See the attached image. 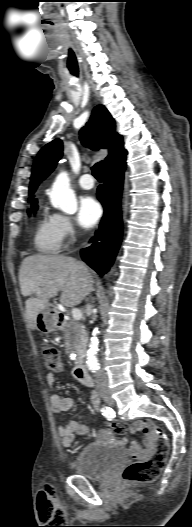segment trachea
Here are the masks:
<instances>
[{
    "mask_svg": "<svg viewBox=\"0 0 192 527\" xmlns=\"http://www.w3.org/2000/svg\"><path fill=\"white\" fill-rule=\"evenodd\" d=\"M102 169H103V162H98L92 167L93 176L99 181L103 180Z\"/></svg>",
    "mask_w": 192,
    "mask_h": 527,
    "instance_id": "1",
    "label": "trachea"
}]
</instances>
